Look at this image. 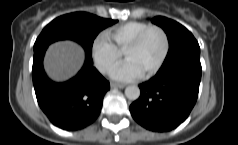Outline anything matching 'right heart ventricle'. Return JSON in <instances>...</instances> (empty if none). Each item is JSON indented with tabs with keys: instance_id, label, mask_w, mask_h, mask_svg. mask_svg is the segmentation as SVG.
Returning <instances> with one entry per match:
<instances>
[{
	"instance_id": "right-heart-ventricle-1",
	"label": "right heart ventricle",
	"mask_w": 238,
	"mask_h": 145,
	"mask_svg": "<svg viewBox=\"0 0 238 145\" xmlns=\"http://www.w3.org/2000/svg\"><path fill=\"white\" fill-rule=\"evenodd\" d=\"M150 24L140 21H129L109 29L106 38L120 51L123 52L129 43Z\"/></svg>"
}]
</instances>
